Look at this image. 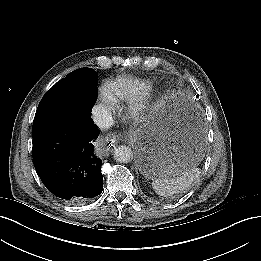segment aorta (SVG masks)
I'll list each match as a JSON object with an SVG mask.
<instances>
[{
  "mask_svg": "<svg viewBox=\"0 0 261 261\" xmlns=\"http://www.w3.org/2000/svg\"><path fill=\"white\" fill-rule=\"evenodd\" d=\"M114 158L117 162L128 163L133 158V152L129 147L120 145L114 150Z\"/></svg>",
  "mask_w": 261,
  "mask_h": 261,
  "instance_id": "obj_1",
  "label": "aorta"
}]
</instances>
